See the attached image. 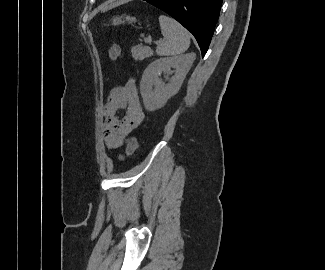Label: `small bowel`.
I'll return each mask as SVG.
<instances>
[{"label":"small bowel","instance_id":"c3829d8e","mask_svg":"<svg viewBox=\"0 0 325 270\" xmlns=\"http://www.w3.org/2000/svg\"><path fill=\"white\" fill-rule=\"evenodd\" d=\"M120 110L125 112L122 119L117 116ZM103 115L104 142L110 149L118 148L145 118L135 80L130 79L110 91Z\"/></svg>","mask_w":325,"mask_h":270}]
</instances>
